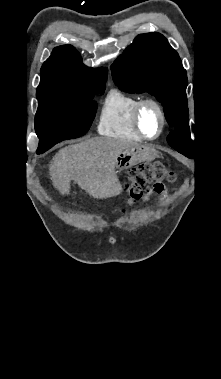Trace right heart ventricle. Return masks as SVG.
I'll list each match as a JSON object with an SVG mask.
<instances>
[{
    "mask_svg": "<svg viewBox=\"0 0 221 379\" xmlns=\"http://www.w3.org/2000/svg\"><path fill=\"white\" fill-rule=\"evenodd\" d=\"M141 100L138 96L117 89L111 90L102 105L97 125L98 132L120 139L142 140L132 122L133 110Z\"/></svg>",
    "mask_w": 221,
    "mask_h": 379,
    "instance_id": "1",
    "label": "right heart ventricle"
}]
</instances>
